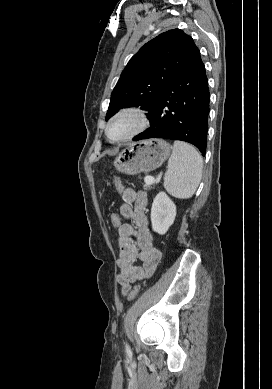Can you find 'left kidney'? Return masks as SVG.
I'll return each mask as SVG.
<instances>
[{
	"label": "left kidney",
	"mask_w": 272,
	"mask_h": 389,
	"mask_svg": "<svg viewBox=\"0 0 272 389\" xmlns=\"http://www.w3.org/2000/svg\"><path fill=\"white\" fill-rule=\"evenodd\" d=\"M176 206L165 192H159L151 208L152 229L158 234H165L174 223Z\"/></svg>",
	"instance_id": "5707ae66"
}]
</instances>
